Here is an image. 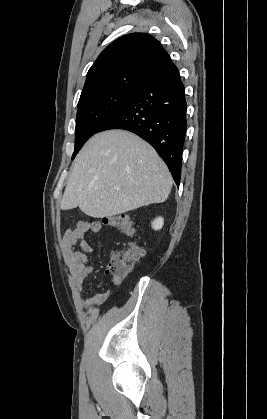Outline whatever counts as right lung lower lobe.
I'll return each instance as SVG.
<instances>
[{"instance_id":"98d812e1","label":"right lung lower lobe","mask_w":267,"mask_h":419,"mask_svg":"<svg viewBox=\"0 0 267 419\" xmlns=\"http://www.w3.org/2000/svg\"><path fill=\"white\" fill-rule=\"evenodd\" d=\"M186 110L185 88L172 63L141 84L98 132L124 129L137 134L155 148L179 186Z\"/></svg>"}]
</instances>
